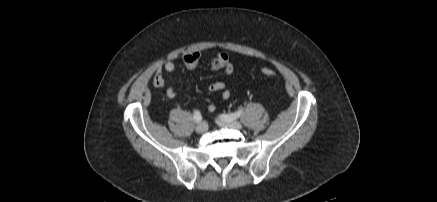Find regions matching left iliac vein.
I'll list each match as a JSON object with an SVG mask.
<instances>
[{
    "label": "left iliac vein",
    "mask_w": 437,
    "mask_h": 202,
    "mask_svg": "<svg viewBox=\"0 0 437 202\" xmlns=\"http://www.w3.org/2000/svg\"><path fill=\"white\" fill-rule=\"evenodd\" d=\"M217 124L221 127L229 128V129H236L240 130L242 129V124L238 121H226L222 118H219L216 120Z\"/></svg>",
    "instance_id": "left-iliac-vein-1"
}]
</instances>
